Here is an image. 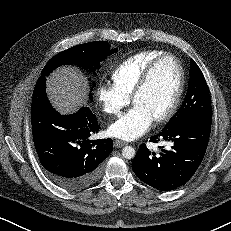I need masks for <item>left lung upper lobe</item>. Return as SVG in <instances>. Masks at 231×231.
I'll return each instance as SVG.
<instances>
[{"label": "left lung upper lobe", "mask_w": 231, "mask_h": 231, "mask_svg": "<svg viewBox=\"0 0 231 231\" xmlns=\"http://www.w3.org/2000/svg\"><path fill=\"white\" fill-rule=\"evenodd\" d=\"M189 75L188 90L183 104L164 129L171 128L187 120L212 121L209 88L194 60L190 62Z\"/></svg>", "instance_id": "left-lung-upper-lobe-1"}]
</instances>
